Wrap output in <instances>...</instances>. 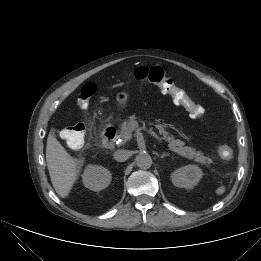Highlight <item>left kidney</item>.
Returning <instances> with one entry per match:
<instances>
[{
    "label": "left kidney",
    "instance_id": "5707ae66",
    "mask_svg": "<svg viewBox=\"0 0 261 261\" xmlns=\"http://www.w3.org/2000/svg\"><path fill=\"white\" fill-rule=\"evenodd\" d=\"M203 172L196 165H187L175 170L171 174V180L174 186L191 189L202 178Z\"/></svg>",
    "mask_w": 261,
    "mask_h": 261
}]
</instances>
